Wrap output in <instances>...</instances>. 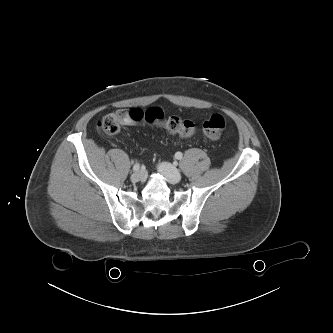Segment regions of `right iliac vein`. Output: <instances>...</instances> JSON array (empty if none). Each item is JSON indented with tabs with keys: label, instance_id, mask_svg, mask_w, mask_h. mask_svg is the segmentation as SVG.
Returning a JSON list of instances; mask_svg holds the SVG:
<instances>
[{
	"label": "right iliac vein",
	"instance_id": "obj_1",
	"mask_svg": "<svg viewBox=\"0 0 333 333\" xmlns=\"http://www.w3.org/2000/svg\"><path fill=\"white\" fill-rule=\"evenodd\" d=\"M130 179L133 183L139 182L143 179V173L142 172H135L131 175Z\"/></svg>",
	"mask_w": 333,
	"mask_h": 333
}]
</instances>
